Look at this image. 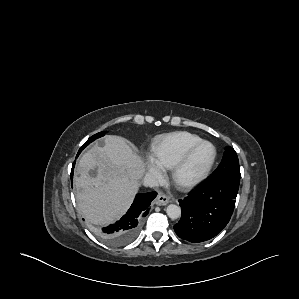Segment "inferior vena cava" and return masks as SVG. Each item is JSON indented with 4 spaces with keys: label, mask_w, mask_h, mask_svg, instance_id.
<instances>
[{
    "label": "inferior vena cava",
    "mask_w": 299,
    "mask_h": 299,
    "mask_svg": "<svg viewBox=\"0 0 299 299\" xmlns=\"http://www.w3.org/2000/svg\"><path fill=\"white\" fill-rule=\"evenodd\" d=\"M143 183L148 187H157L159 185L157 178L152 174H146L143 179Z\"/></svg>",
    "instance_id": "602c4592"
}]
</instances>
